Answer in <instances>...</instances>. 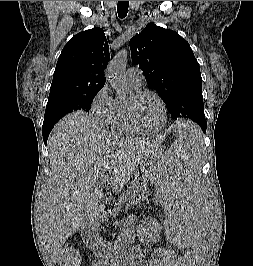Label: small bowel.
Returning <instances> with one entry per match:
<instances>
[{
    "label": "small bowel",
    "instance_id": "1",
    "mask_svg": "<svg viewBox=\"0 0 253 266\" xmlns=\"http://www.w3.org/2000/svg\"><path fill=\"white\" fill-rule=\"evenodd\" d=\"M158 258H151L143 261L136 252H128L120 257L117 262L123 266H181V259L176 252L170 249L159 247L155 250ZM92 266H104L102 259L94 261Z\"/></svg>",
    "mask_w": 253,
    "mask_h": 266
}]
</instances>
